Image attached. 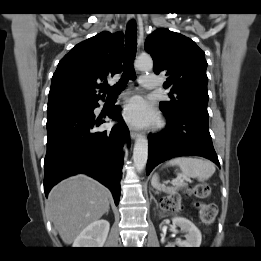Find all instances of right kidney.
I'll return each instance as SVG.
<instances>
[{"label": "right kidney", "mask_w": 261, "mask_h": 261, "mask_svg": "<svg viewBox=\"0 0 261 261\" xmlns=\"http://www.w3.org/2000/svg\"><path fill=\"white\" fill-rule=\"evenodd\" d=\"M110 224L107 220H97L89 224L77 236L73 243L74 248H101L104 246Z\"/></svg>", "instance_id": "obj_1"}]
</instances>
